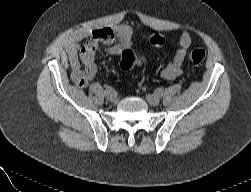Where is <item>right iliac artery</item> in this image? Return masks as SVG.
Wrapping results in <instances>:
<instances>
[{
    "label": "right iliac artery",
    "mask_w": 251,
    "mask_h": 192,
    "mask_svg": "<svg viewBox=\"0 0 251 192\" xmlns=\"http://www.w3.org/2000/svg\"><path fill=\"white\" fill-rule=\"evenodd\" d=\"M112 92H114V89L111 86H106L104 91L105 95L110 94Z\"/></svg>",
    "instance_id": "82829eb1"
}]
</instances>
